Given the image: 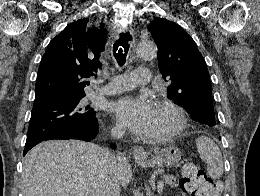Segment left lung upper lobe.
Returning <instances> with one entry per match:
<instances>
[{
	"label": "left lung upper lobe",
	"mask_w": 260,
	"mask_h": 196,
	"mask_svg": "<svg viewBox=\"0 0 260 196\" xmlns=\"http://www.w3.org/2000/svg\"><path fill=\"white\" fill-rule=\"evenodd\" d=\"M148 29L158 46L160 72L169 83L168 98L190 115L197 106L213 107L208 69L192 37L165 18L154 19ZM207 126L217 129L216 121Z\"/></svg>",
	"instance_id": "left-lung-upper-lobe-1"
}]
</instances>
